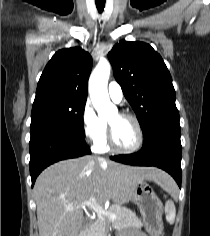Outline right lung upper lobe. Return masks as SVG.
<instances>
[{"label":"right lung upper lobe","mask_w":210,"mask_h":236,"mask_svg":"<svg viewBox=\"0 0 210 236\" xmlns=\"http://www.w3.org/2000/svg\"><path fill=\"white\" fill-rule=\"evenodd\" d=\"M91 68L90 54L80 47L59 50L40 77L34 102L52 97L86 100Z\"/></svg>","instance_id":"cb5924a9"}]
</instances>
